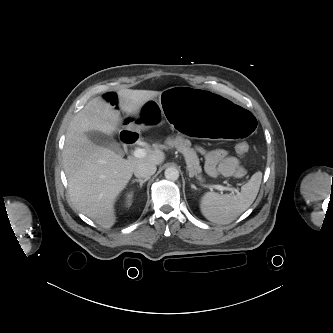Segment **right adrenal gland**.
Instances as JSON below:
<instances>
[{
  "mask_svg": "<svg viewBox=\"0 0 333 333\" xmlns=\"http://www.w3.org/2000/svg\"><path fill=\"white\" fill-rule=\"evenodd\" d=\"M148 180H149V178H145V179H133V180H132V183H134V182H138L139 185H140V187L142 188L143 184H144L146 181H148Z\"/></svg>",
  "mask_w": 333,
  "mask_h": 333,
  "instance_id": "right-adrenal-gland-1",
  "label": "right adrenal gland"
}]
</instances>
